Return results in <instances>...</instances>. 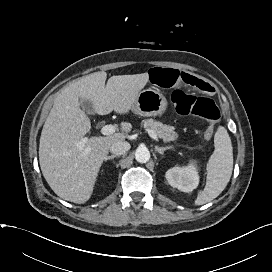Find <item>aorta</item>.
Wrapping results in <instances>:
<instances>
[{"label":"aorta","instance_id":"1","mask_svg":"<svg viewBox=\"0 0 272 272\" xmlns=\"http://www.w3.org/2000/svg\"><path fill=\"white\" fill-rule=\"evenodd\" d=\"M135 159L139 163H147L150 160V152L146 147H139L135 152Z\"/></svg>","mask_w":272,"mask_h":272}]
</instances>
